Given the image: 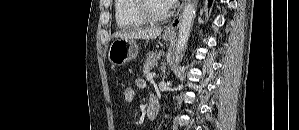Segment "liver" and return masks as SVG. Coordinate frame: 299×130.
Returning <instances> with one entry per match:
<instances>
[{
  "mask_svg": "<svg viewBox=\"0 0 299 130\" xmlns=\"http://www.w3.org/2000/svg\"><path fill=\"white\" fill-rule=\"evenodd\" d=\"M162 32L161 27L148 28V29H134L124 32H120L115 35L117 38L121 39H146L153 40L157 38Z\"/></svg>",
  "mask_w": 299,
  "mask_h": 130,
  "instance_id": "1",
  "label": "liver"
}]
</instances>
